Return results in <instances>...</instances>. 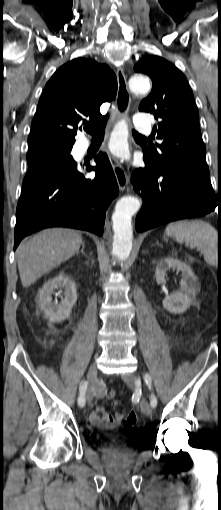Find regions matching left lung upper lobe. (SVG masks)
<instances>
[{
    "label": "left lung upper lobe",
    "instance_id": "5c2ea615",
    "mask_svg": "<svg viewBox=\"0 0 221 510\" xmlns=\"http://www.w3.org/2000/svg\"><path fill=\"white\" fill-rule=\"evenodd\" d=\"M134 70L150 76L153 83L150 95L139 106L140 111L160 120L154 133L163 142L145 149L153 166L210 177L199 113L185 76L173 64L155 55L142 58Z\"/></svg>",
    "mask_w": 221,
    "mask_h": 510
}]
</instances>
